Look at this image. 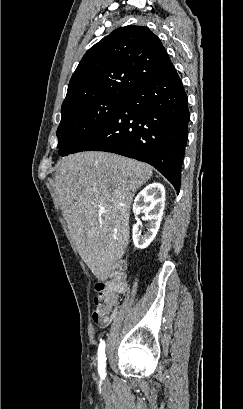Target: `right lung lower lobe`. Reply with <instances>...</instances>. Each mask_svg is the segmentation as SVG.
I'll list each match as a JSON object with an SVG mask.
<instances>
[{"label": "right lung lower lobe", "mask_w": 243, "mask_h": 409, "mask_svg": "<svg viewBox=\"0 0 243 409\" xmlns=\"http://www.w3.org/2000/svg\"><path fill=\"white\" fill-rule=\"evenodd\" d=\"M188 98L176 71L131 92L110 122L71 153L107 151L146 162L180 190Z\"/></svg>", "instance_id": "obj_1"}]
</instances>
